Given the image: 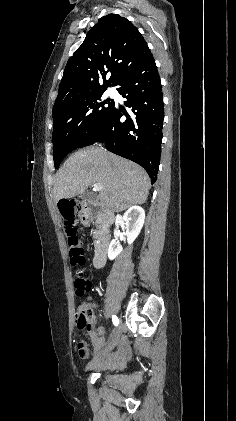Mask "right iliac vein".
<instances>
[{"label":"right iliac vein","instance_id":"right-iliac-vein-1","mask_svg":"<svg viewBox=\"0 0 236 421\" xmlns=\"http://www.w3.org/2000/svg\"><path fill=\"white\" fill-rule=\"evenodd\" d=\"M121 329H122V326L119 325L118 329L114 332L113 339L109 342V344L106 346V348H104L100 353H98L97 355L94 356L93 362H96L100 357L105 356L106 354H108L110 351L113 350V348L115 347V344H116V340L118 339V337L121 334Z\"/></svg>","mask_w":236,"mask_h":421}]
</instances>
